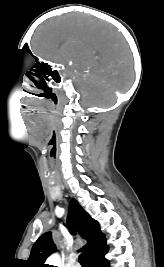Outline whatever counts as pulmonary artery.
<instances>
[{"instance_id":"pulmonary-artery-1","label":"pulmonary artery","mask_w":164,"mask_h":267,"mask_svg":"<svg viewBox=\"0 0 164 267\" xmlns=\"http://www.w3.org/2000/svg\"><path fill=\"white\" fill-rule=\"evenodd\" d=\"M74 267H80V265L79 264H76Z\"/></svg>"}]
</instances>
